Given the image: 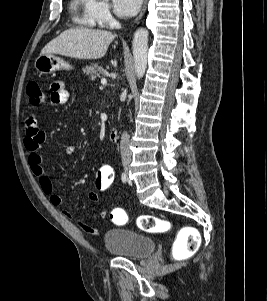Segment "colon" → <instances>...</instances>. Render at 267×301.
Listing matches in <instances>:
<instances>
[{
  "label": "colon",
  "mask_w": 267,
  "mask_h": 301,
  "mask_svg": "<svg viewBox=\"0 0 267 301\" xmlns=\"http://www.w3.org/2000/svg\"><path fill=\"white\" fill-rule=\"evenodd\" d=\"M27 94L32 105L38 106L44 100V93L36 82L27 85ZM114 183V170L110 164H103L95 175L94 187L99 195L107 194ZM110 219L116 224H124L128 214L124 208L117 207L110 212ZM138 227L150 233H162L169 229L170 224L152 215H141L137 219ZM200 245V236L194 228L186 227L179 231L173 246L176 259H186L196 253Z\"/></svg>",
  "instance_id": "1"
}]
</instances>
